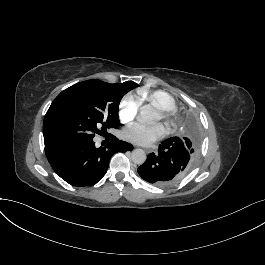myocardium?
Here are the masks:
<instances>
[{"label": "myocardium", "mask_w": 265, "mask_h": 265, "mask_svg": "<svg viewBox=\"0 0 265 265\" xmlns=\"http://www.w3.org/2000/svg\"><path fill=\"white\" fill-rule=\"evenodd\" d=\"M159 114L160 118L164 120L167 125H170L176 116V111L173 108L160 109Z\"/></svg>", "instance_id": "obj_1"}]
</instances>
